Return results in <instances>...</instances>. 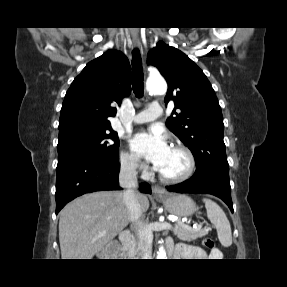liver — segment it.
<instances>
[{
    "instance_id": "obj_1",
    "label": "liver",
    "mask_w": 287,
    "mask_h": 287,
    "mask_svg": "<svg viewBox=\"0 0 287 287\" xmlns=\"http://www.w3.org/2000/svg\"><path fill=\"white\" fill-rule=\"evenodd\" d=\"M137 197L142 213H145L149 200L141 193ZM129 221L121 192L101 191L75 199L60 212L62 259H92L122 232Z\"/></svg>"
}]
</instances>
